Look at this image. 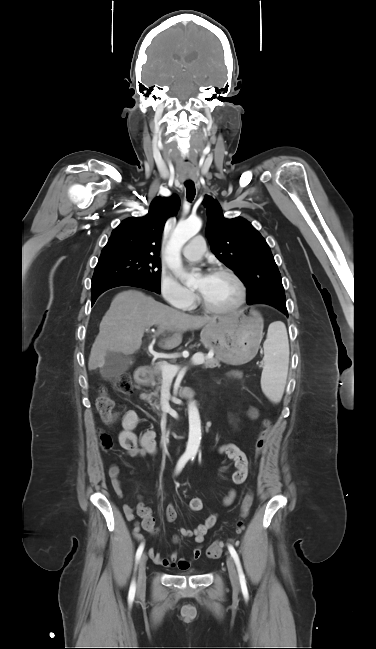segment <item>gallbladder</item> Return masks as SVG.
<instances>
[{
  "instance_id": "gallbladder-1",
  "label": "gallbladder",
  "mask_w": 376,
  "mask_h": 649,
  "mask_svg": "<svg viewBox=\"0 0 376 649\" xmlns=\"http://www.w3.org/2000/svg\"><path fill=\"white\" fill-rule=\"evenodd\" d=\"M132 363L133 357L131 354L107 351L105 363L100 368V374L105 379L117 378L128 370Z\"/></svg>"
}]
</instances>
